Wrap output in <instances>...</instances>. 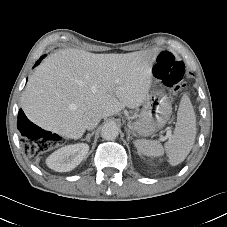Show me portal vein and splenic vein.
Here are the masks:
<instances>
[{
	"instance_id": "portal-vein-and-splenic-vein-1",
	"label": "portal vein and splenic vein",
	"mask_w": 227,
	"mask_h": 227,
	"mask_svg": "<svg viewBox=\"0 0 227 227\" xmlns=\"http://www.w3.org/2000/svg\"><path fill=\"white\" fill-rule=\"evenodd\" d=\"M168 137H171V130H168V131H167V136H166V138H168ZM166 138H165V139H166Z\"/></svg>"
}]
</instances>
